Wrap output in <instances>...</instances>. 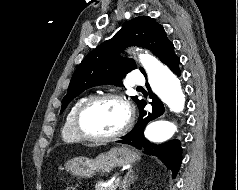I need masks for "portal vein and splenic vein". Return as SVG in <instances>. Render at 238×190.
<instances>
[{
    "label": "portal vein and splenic vein",
    "instance_id": "1",
    "mask_svg": "<svg viewBox=\"0 0 238 190\" xmlns=\"http://www.w3.org/2000/svg\"><path fill=\"white\" fill-rule=\"evenodd\" d=\"M120 182V179H116L115 180V183L117 184V183H119Z\"/></svg>",
    "mask_w": 238,
    "mask_h": 190
}]
</instances>
